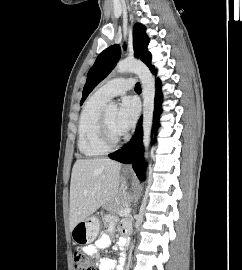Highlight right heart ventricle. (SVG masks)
I'll list each match as a JSON object with an SVG mask.
<instances>
[{
  "label": "right heart ventricle",
  "mask_w": 242,
  "mask_h": 270,
  "mask_svg": "<svg viewBox=\"0 0 242 270\" xmlns=\"http://www.w3.org/2000/svg\"><path fill=\"white\" fill-rule=\"evenodd\" d=\"M106 102L93 94L82 110L77 145L86 157H97L108 152L99 140V121Z\"/></svg>",
  "instance_id": "obj_1"
}]
</instances>
